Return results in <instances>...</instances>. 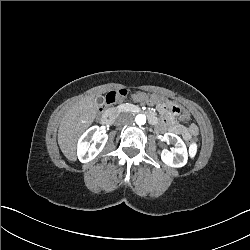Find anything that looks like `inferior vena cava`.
<instances>
[{
  "label": "inferior vena cava",
  "mask_w": 250,
  "mask_h": 250,
  "mask_svg": "<svg viewBox=\"0 0 250 250\" xmlns=\"http://www.w3.org/2000/svg\"><path fill=\"white\" fill-rule=\"evenodd\" d=\"M133 116L132 114L125 112L121 113L115 120L116 125H129L133 122Z\"/></svg>",
  "instance_id": "inferior-vena-cava-1"
}]
</instances>
